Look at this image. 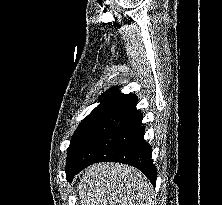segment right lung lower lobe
Segmentation results:
<instances>
[{"label":"right lung lower lobe","mask_w":222,"mask_h":205,"mask_svg":"<svg viewBox=\"0 0 222 205\" xmlns=\"http://www.w3.org/2000/svg\"><path fill=\"white\" fill-rule=\"evenodd\" d=\"M136 103L137 97L132 95L107 112L66 169L68 181L93 163L111 161L138 168L153 185L156 184L157 169L151 159L152 148L144 140L143 115L136 109Z\"/></svg>","instance_id":"right-lung-lower-lobe-1"}]
</instances>
